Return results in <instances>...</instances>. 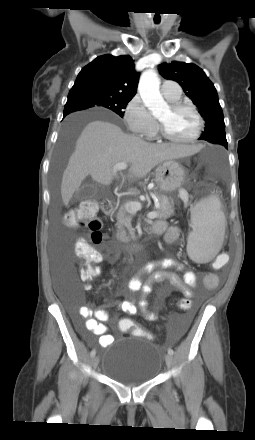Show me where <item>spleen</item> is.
I'll use <instances>...</instances> for the list:
<instances>
[{"label": "spleen", "mask_w": 255, "mask_h": 440, "mask_svg": "<svg viewBox=\"0 0 255 440\" xmlns=\"http://www.w3.org/2000/svg\"><path fill=\"white\" fill-rule=\"evenodd\" d=\"M193 231L188 236L187 253L197 263L209 262L219 252L225 234V216L216 196L200 200L191 212Z\"/></svg>", "instance_id": "spleen-1"}]
</instances>
